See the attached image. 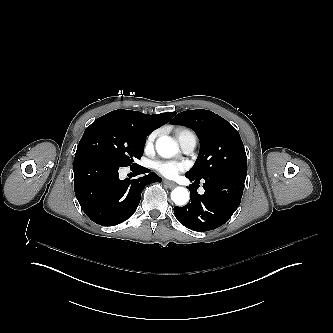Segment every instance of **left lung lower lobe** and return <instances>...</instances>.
Instances as JSON below:
<instances>
[{
  "instance_id": "obj_1",
  "label": "left lung lower lobe",
  "mask_w": 333,
  "mask_h": 333,
  "mask_svg": "<svg viewBox=\"0 0 333 333\" xmlns=\"http://www.w3.org/2000/svg\"><path fill=\"white\" fill-rule=\"evenodd\" d=\"M194 181L189 185L191 201L183 207H174L177 220L188 229L203 232L213 230L226 223L237 210L244 189L246 176L237 173L220 174L203 184L204 194H198Z\"/></svg>"
}]
</instances>
